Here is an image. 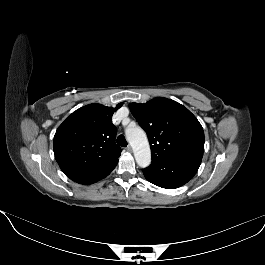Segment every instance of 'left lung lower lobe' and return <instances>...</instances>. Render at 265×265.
I'll list each match as a JSON object with an SVG mask.
<instances>
[{"instance_id":"0a47b994","label":"left lung lower lobe","mask_w":265,"mask_h":265,"mask_svg":"<svg viewBox=\"0 0 265 265\" xmlns=\"http://www.w3.org/2000/svg\"><path fill=\"white\" fill-rule=\"evenodd\" d=\"M203 155L195 154L171 159L160 163H151L143 169L145 178L151 183L166 189H175L190 181L196 174Z\"/></svg>"}]
</instances>
